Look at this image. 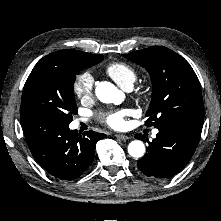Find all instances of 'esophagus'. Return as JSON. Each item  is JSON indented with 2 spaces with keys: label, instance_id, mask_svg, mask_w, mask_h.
I'll list each match as a JSON object with an SVG mask.
<instances>
[{
  "label": "esophagus",
  "instance_id": "1",
  "mask_svg": "<svg viewBox=\"0 0 221 221\" xmlns=\"http://www.w3.org/2000/svg\"><path fill=\"white\" fill-rule=\"evenodd\" d=\"M115 137L117 139H120V140H127V139H129V136H127L125 134H116Z\"/></svg>",
  "mask_w": 221,
  "mask_h": 221
}]
</instances>
